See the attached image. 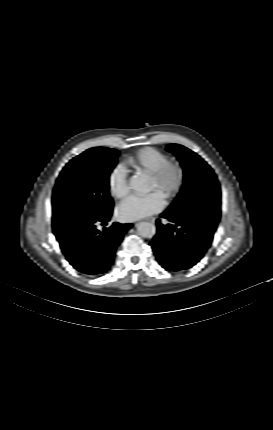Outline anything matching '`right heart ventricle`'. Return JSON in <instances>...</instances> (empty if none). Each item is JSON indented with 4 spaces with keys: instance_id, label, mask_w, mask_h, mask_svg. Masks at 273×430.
Wrapping results in <instances>:
<instances>
[{
    "instance_id": "e07e8e85",
    "label": "right heart ventricle",
    "mask_w": 273,
    "mask_h": 430,
    "mask_svg": "<svg viewBox=\"0 0 273 430\" xmlns=\"http://www.w3.org/2000/svg\"><path fill=\"white\" fill-rule=\"evenodd\" d=\"M169 160V156L163 151L153 147H145L129 156L125 163L136 171L153 174Z\"/></svg>"
}]
</instances>
